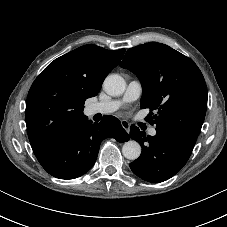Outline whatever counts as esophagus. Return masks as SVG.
Masks as SVG:
<instances>
[{
  "mask_svg": "<svg viewBox=\"0 0 227 227\" xmlns=\"http://www.w3.org/2000/svg\"><path fill=\"white\" fill-rule=\"evenodd\" d=\"M121 125L127 131V133H129V131H130V124L128 123V121L122 120L121 121Z\"/></svg>",
  "mask_w": 227,
  "mask_h": 227,
  "instance_id": "1",
  "label": "esophagus"
}]
</instances>
